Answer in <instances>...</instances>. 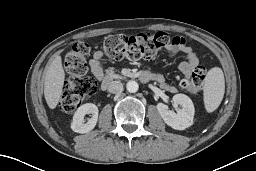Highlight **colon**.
<instances>
[{
	"instance_id": "1",
	"label": "colon",
	"mask_w": 256,
	"mask_h": 171,
	"mask_svg": "<svg viewBox=\"0 0 256 171\" xmlns=\"http://www.w3.org/2000/svg\"><path fill=\"white\" fill-rule=\"evenodd\" d=\"M170 42V37L164 32L141 33L137 35H111L103 45L105 54L111 59L131 60L154 59ZM90 48L83 41L75 42L67 53L64 66L69 74L66 79L60 99V108L64 112L75 111L82 102L96 90V82L87 76V58ZM206 71L197 66L190 78L180 80V85L190 92H200L203 88Z\"/></svg>"
}]
</instances>
